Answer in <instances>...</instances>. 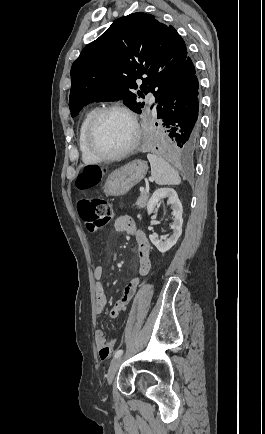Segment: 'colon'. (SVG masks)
Instances as JSON below:
<instances>
[{
	"label": "colon",
	"mask_w": 265,
	"mask_h": 434,
	"mask_svg": "<svg viewBox=\"0 0 265 434\" xmlns=\"http://www.w3.org/2000/svg\"><path fill=\"white\" fill-rule=\"evenodd\" d=\"M101 171L102 166L100 164H92L90 168H79L78 189H95L96 177H100ZM111 205V202L98 197L76 202L77 213L83 220L85 228L90 235H97L114 218ZM112 348V342L101 345L97 352L100 354L101 363L108 362L107 356L113 354Z\"/></svg>",
	"instance_id": "1"
}]
</instances>
